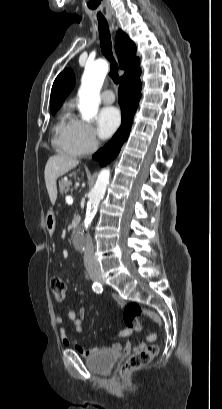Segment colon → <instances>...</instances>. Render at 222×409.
Here are the masks:
<instances>
[{"label": "colon", "instance_id": "1", "mask_svg": "<svg viewBox=\"0 0 222 409\" xmlns=\"http://www.w3.org/2000/svg\"><path fill=\"white\" fill-rule=\"evenodd\" d=\"M50 288L58 302H62L67 293V286L65 282L59 277H53L50 280ZM140 315H146L159 323L160 319L157 314L150 310L143 309L139 304L135 302L127 303L123 310L124 323L131 329L141 330L142 326L138 322ZM158 347L156 344H147L141 349L134 352L122 365L120 373L126 374L128 371L140 368L147 365L152 358L157 354Z\"/></svg>", "mask_w": 222, "mask_h": 409}]
</instances>
